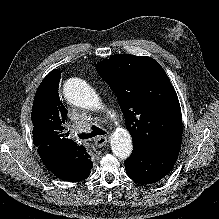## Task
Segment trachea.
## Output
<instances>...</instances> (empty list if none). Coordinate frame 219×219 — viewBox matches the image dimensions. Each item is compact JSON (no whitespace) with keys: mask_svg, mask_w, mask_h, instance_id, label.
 Instances as JSON below:
<instances>
[{"mask_svg":"<svg viewBox=\"0 0 219 219\" xmlns=\"http://www.w3.org/2000/svg\"><path fill=\"white\" fill-rule=\"evenodd\" d=\"M91 129H92V131L90 133H87V134L86 133H82L80 135V137L83 138V139H88V138L95 137L97 135H105L106 134V132L103 129H101V128L95 126V125H93L91 127Z\"/></svg>","mask_w":219,"mask_h":219,"instance_id":"trachea-1","label":"trachea"}]
</instances>
